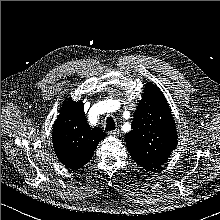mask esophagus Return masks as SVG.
Wrapping results in <instances>:
<instances>
[{
    "mask_svg": "<svg viewBox=\"0 0 220 220\" xmlns=\"http://www.w3.org/2000/svg\"><path fill=\"white\" fill-rule=\"evenodd\" d=\"M119 133H120L119 129H115V130L108 132V134L113 137H117L119 135Z\"/></svg>",
    "mask_w": 220,
    "mask_h": 220,
    "instance_id": "esophagus-1",
    "label": "esophagus"
}]
</instances>
